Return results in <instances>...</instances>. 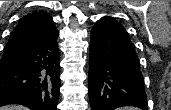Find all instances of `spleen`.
Returning <instances> with one entry per match:
<instances>
[{"label":"spleen","mask_w":171,"mask_h":110,"mask_svg":"<svg viewBox=\"0 0 171 110\" xmlns=\"http://www.w3.org/2000/svg\"><path fill=\"white\" fill-rule=\"evenodd\" d=\"M119 110H138V109L135 107H124V108H121Z\"/></svg>","instance_id":"obj_1"}]
</instances>
